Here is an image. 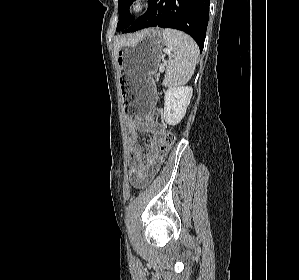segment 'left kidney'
Segmentation results:
<instances>
[{"label": "left kidney", "mask_w": 299, "mask_h": 280, "mask_svg": "<svg viewBox=\"0 0 299 280\" xmlns=\"http://www.w3.org/2000/svg\"><path fill=\"white\" fill-rule=\"evenodd\" d=\"M193 94L192 87H170L164 96L163 118L169 125H177L186 114L187 107Z\"/></svg>", "instance_id": "obj_1"}]
</instances>
